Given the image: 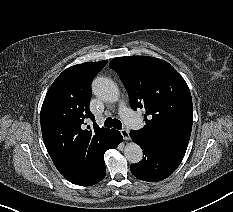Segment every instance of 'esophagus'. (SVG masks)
I'll return each instance as SVG.
<instances>
[{
	"instance_id": "esophagus-1",
	"label": "esophagus",
	"mask_w": 233,
	"mask_h": 212,
	"mask_svg": "<svg viewBox=\"0 0 233 212\" xmlns=\"http://www.w3.org/2000/svg\"><path fill=\"white\" fill-rule=\"evenodd\" d=\"M121 135L123 136L124 140H130V134L129 131L127 129H122L120 131Z\"/></svg>"
}]
</instances>
